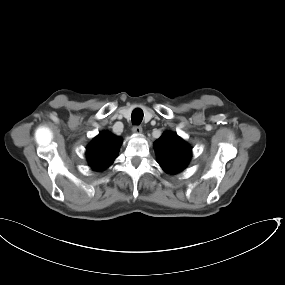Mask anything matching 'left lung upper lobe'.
<instances>
[{"mask_svg": "<svg viewBox=\"0 0 285 285\" xmlns=\"http://www.w3.org/2000/svg\"><path fill=\"white\" fill-rule=\"evenodd\" d=\"M154 145L157 162L165 172L179 173L188 165L191 147L177 134L165 132Z\"/></svg>", "mask_w": 285, "mask_h": 285, "instance_id": "obj_1", "label": "left lung upper lobe"}]
</instances>
